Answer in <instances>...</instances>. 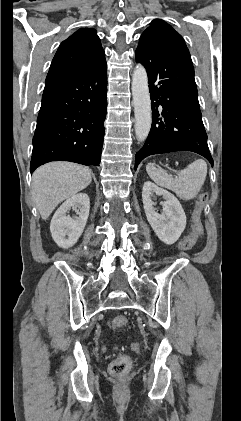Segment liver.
<instances>
[{
  "label": "liver",
  "mask_w": 241,
  "mask_h": 421,
  "mask_svg": "<svg viewBox=\"0 0 241 421\" xmlns=\"http://www.w3.org/2000/svg\"><path fill=\"white\" fill-rule=\"evenodd\" d=\"M91 175L89 168L71 162H51L35 170L31 193L42 219H47L62 201L89 186Z\"/></svg>",
  "instance_id": "6515ba94"
}]
</instances>
